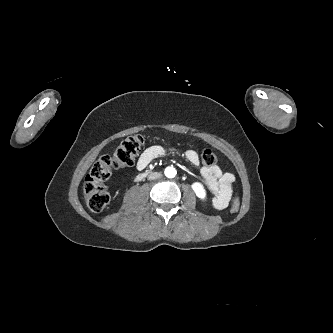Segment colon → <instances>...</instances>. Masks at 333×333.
Here are the masks:
<instances>
[{
	"instance_id": "colon-1",
	"label": "colon",
	"mask_w": 333,
	"mask_h": 333,
	"mask_svg": "<svg viewBox=\"0 0 333 333\" xmlns=\"http://www.w3.org/2000/svg\"><path fill=\"white\" fill-rule=\"evenodd\" d=\"M142 135H133L123 140L113 154L103 155L91 169L84 181V195L91 211L100 212L109 203L110 196L104 186L113 169L130 166L144 145ZM214 152L206 149L201 154V161L205 166H213L217 163ZM240 207L237 196L231 202L230 210L236 213Z\"/></svg>"
}]
</instances>
